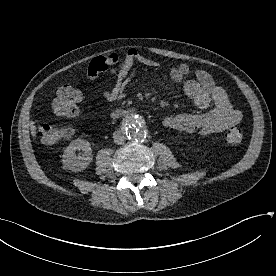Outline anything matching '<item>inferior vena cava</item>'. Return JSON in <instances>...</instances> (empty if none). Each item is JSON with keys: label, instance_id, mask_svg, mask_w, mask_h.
<instances>
[{"label": "inferior vena cava", "instance_id": "obj_1", "mask_svg": "<svg viewBox=\"0 0 276 276\" xmlns=\"http://www.w3.org/2000/svg\"><path fill=\"white\" fill-rule=\"evenodd\" d=\"M113 141L116 143V144H123L124 141H125V137H124V134L122 131H115L113 133Z\"/></svg>", "mask_w": 276, "mask_h": 276}]
</instances>
